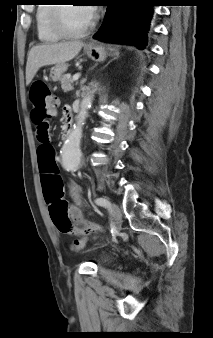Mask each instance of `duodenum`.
<instances>
[{
    "mask_svg": "<svg viewBox=\"0 0 213 338\" xmlns=\"http://www.w3.org/2000/svg\"><path fill=\"white\" fill-rule=\"evenodd\" d=\"M73 125H74L73 113H69L65 123L62 126V136L64 138H67L68 135L71 133V131L73 130Z\"/></svg>",
    "mask_w": 213,
    "mask_h": 338,
    "instance_id": "1",
    "label": "duodenum"
}]
</instances>
